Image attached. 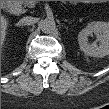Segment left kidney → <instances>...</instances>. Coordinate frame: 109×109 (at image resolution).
Returning <instances> with one entry per match:
<instances>
[{
    "label": "left kidney",
    "instance_id": "5707ae66",
    "mask_svg": "<svg viewBox=\"0 0 109 109\" xmlns=\"http://www.w3.org/2000/svg\"><path fill=\"white\" fill-rule=\"evenodd\" d=\"M95 34L100 41L99 46L88 44V36ZM81 51L88 56L104 57L109 54V25L106 22H91L78 34Z\"/></svg>",
    "mask_w": 109,
    "mask_h": 109
}]
</instances>
